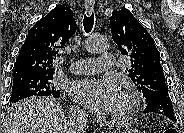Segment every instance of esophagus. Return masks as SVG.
<instances>
[{"label":"esophagus","instance_id":"obj_1","mask_svg":"<svg viewBox=\"0 0 184 133\" xmlns=\"http://www.w3.org/2000/svg\"><path fill=\"white\" fill-rule=\"evenodd\" d=\"M94 1L93 0H86L85 1V9L88 13H91L94 9Z\"/></svg>","mask_w":184,"mask_h":133}]
</instances>
